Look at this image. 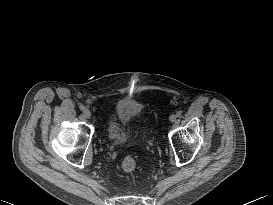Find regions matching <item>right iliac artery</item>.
I'll list each match as a JSON object with an SVG mask.
<instances>
[{"instance_id": "right-iliac-artery-1", "label": "right iliac artery", "mask_w": 273, "mask_h": 205, "mask_svg": "<svg viewBox=\"0 0 273 205\" xmlns=\"http://www.w3.org/2000/svg\"><path fill=\"white\" fill-rule=\"evenodd\" d=\"M79 109H80L81 111H83V110L85 109L84 105L80 104V105H79Z\"/></svg>"}]
</instances>
